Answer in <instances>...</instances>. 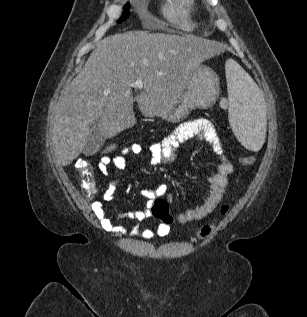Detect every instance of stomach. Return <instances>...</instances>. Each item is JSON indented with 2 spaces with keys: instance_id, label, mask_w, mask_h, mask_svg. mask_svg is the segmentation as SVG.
I'll use <instances>...</instances> for the list:
<instances>
[{
  "instance_id": "1",
  "label": "stomach",
  "mask_w": 307,
  "mask_h": 317,
  "mask_svg": "<svg viewBox=\"0 0 307 317\" xmlns=\"http://www.w3.org/2000/svg\"><path fill=\"white\" fill-rule=\"evenodd\" d=\"M219 95V82L216 74L209 67L199 64L188 76L187 86L169 110L156 114L170 122L184 119L190 110L211 106Z\"/></svg>"
}]
</instances>
